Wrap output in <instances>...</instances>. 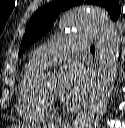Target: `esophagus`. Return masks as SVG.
<instances>
[{
	"label": "esophagus",
	"instance_id": "34e87169",
	"mask_svg": "<svg viewBox=\"0 0 125 128\" xmlns=\"http://www.w3.org/2000/svg\"><path fill=\"white\" fill-rule=\"evenodd\" d=\"M97 61H98V58L96 57V68H97Z\"/></svg>",
	"mask_w": 125,
	"mask_h": 128
}]
</instances>
